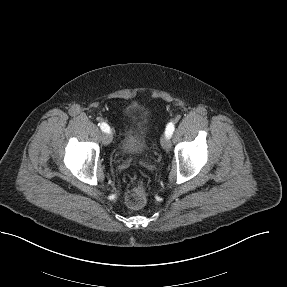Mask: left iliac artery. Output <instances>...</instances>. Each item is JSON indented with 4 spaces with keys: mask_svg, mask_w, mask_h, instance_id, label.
I'll use <instances>...</instances> for the list:
<instances>
[{
    "mask_svg": "<svg viewBox=\"0 0 287 287\" xmlns=\"http://www.w3.org/2000/svg\"><path fill=\"white\" fill-rule=\"evenodd\" d=\"M174 129H175L174 123L173 122L168 123L166 126V131H165L166 136L171 137Z\"/></svg>",
    "mask_w": 287,
    "mask_h": 287,
    "instance_id": "44dca946",
    "label": "left iliac artery"
}]
</instances>
